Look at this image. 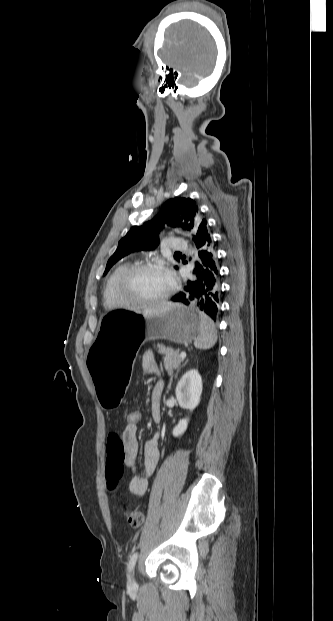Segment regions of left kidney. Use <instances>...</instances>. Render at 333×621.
<instances>
[{
    "label": "left kidney",
    "mask_w": 333,
    "mask_h": 621,
    "mask_svg": "<svg viewBox=\"0 0 333 621\" xmlns=\"http://www.w3.org/2000/svg\"><path fill=\"white\" fill-rule=\"evenodd\" d=\"M202 388V378L198 370L192 369L186 372L178 382L175 391L179 405L190 411L194 410L200 403ZM187 426V418L180 420L173 429V436L182 435Z\"/></svg>",
    "instance_id": "obj_1"
}]
</instances>
